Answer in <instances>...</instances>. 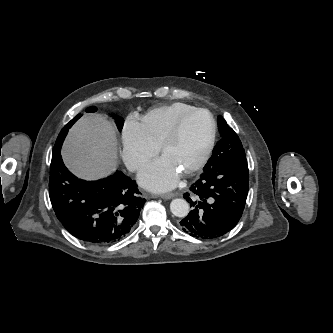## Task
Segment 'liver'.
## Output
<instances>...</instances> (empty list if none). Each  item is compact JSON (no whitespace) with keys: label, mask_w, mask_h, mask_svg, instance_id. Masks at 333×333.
I'll use <instances>...</instances> for the list:
<instances>
[{"label":"liver","mask_w":333,"mask_h":333,"mask_svg":"<svg viewBox=\"0 0 333 333\" xmlns=\"http://www.w3.org/2000/svg\"><path fill=\"white\" fill-rule=\"evenodd\" d=\"M62 157L79 178L95 180L109 175L117 164L114 127L98 114L80 118L68 133Z\"/></svg>","instance_id":"6515ba94"}]
</instances>
